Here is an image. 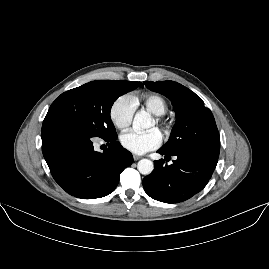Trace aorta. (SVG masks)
I'll list each match as a JSON object with an SVG mask.
<instances>
[{"label":"aorta","mask_w":269,"mask_h":269,"mask_svg":"<svg viewBox=\"0 0 269 269\" xmlns=\"http://www.w3.org/2000/svg\"><path fill=\"white\" fill-rule=\"evenodd\" d=\"M153 126V120L150 114L144 110L138 111L133 120V129L139 133ZM137 169L142 175H149L153 170V162L149 159H141L137 163Z\"/></svg>","instance_id":"aorta-1"}]
</instances>
